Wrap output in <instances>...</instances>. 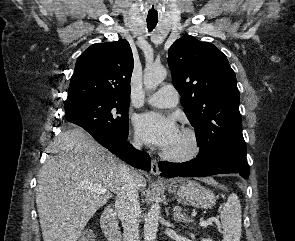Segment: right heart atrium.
Segmentation results:
<instances>
[{
	"label": "right heart atrium",
	"instance_id": "1",
	"mask_svg": "<svg viewBox=\"0 0 295 241\" xmlns=\"http://www.w3.org/2000/svg\"><path fill=\"white\" fill-rule=\"evenodd\" d=\"M133 142L136 146H141V144H142L138 137H135Z\"/></svg>",
	"mask_w": 295,
	"mask_h": 241
}]
</instances>
